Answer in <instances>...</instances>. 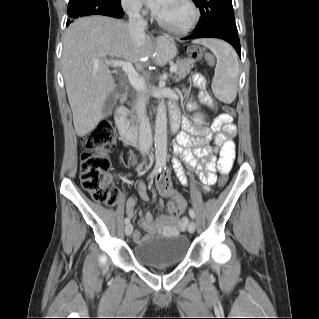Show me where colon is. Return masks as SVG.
I'll return each instance as SVG.
<instances>
[{
	"mask_svg": "<svg viewBox=\"0 0 319 319\" xmlns=\"http://www.w3.org/2000/svg\"><path fill=\"white\" fill-rule=\"evenodd\" d=\"M186 52L190 58H197L200 51L196 47H187ZM222 110L233 114L232 107L223 106ZM116 143V127L113 122L107 121L99 124L93 131L84 135L81 140L83 153L80 163V179L83 188L90 194L93 200L116 206L120 200V193L111 183L109 153ZM227 182L226 174L218 178V185L223 187ZM159 189L171 188L169 180L160 181ZM182 214V204L171 200L169 203V215L178 217Z\"/></svg>",
	"mask_w": 319,
	"mask_h": 319,
	"instance_id": "colon-1",
	"label": "colon"
}]
</instances>
